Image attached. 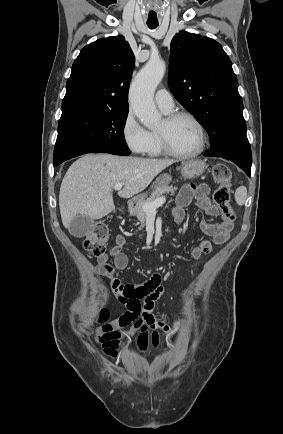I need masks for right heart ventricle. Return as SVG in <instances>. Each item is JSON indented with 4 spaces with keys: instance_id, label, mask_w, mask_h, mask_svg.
Wrapping results in <instances>:
<instances>
[{
    "instance_id": "1",
    "label": "right heart ventricle",
    "mask_w": 283,
    "mask_h": 434,
    "mask_svg": "<svg viewBox=\"0 0 283 434\" xmlns=\"http://www.w3.org/2000/svg\"><path fill=\"white\" fill-rule=\"evenodd\" d=\"M150 143L149 146L147 148L146 154L149 155L150 157H158L163 155V150L157 135L156 131H152L150 132Z\"/></svg>"
}]
</instances>
